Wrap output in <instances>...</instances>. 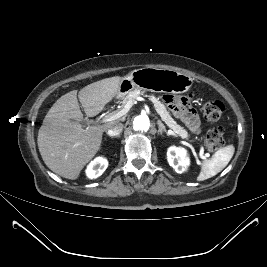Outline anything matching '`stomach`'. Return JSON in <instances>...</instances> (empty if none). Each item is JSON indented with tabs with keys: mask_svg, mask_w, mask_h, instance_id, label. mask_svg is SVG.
<instances>
[{
	"mask_svg": "<svg viewBox=\"0 0 267 267\" xmlns=\"http://www.w3.org/2000/svg\"><path fill=\"white\" fill-rule=\"evenodd\" d=\"M192 83V78L186 74L170 69L145 67L133 70L122 78L116 97L122 99L136 89L181 94L187 92Z\"/></svg>",
	"mask_w": 267,
	"mask_h": 267,
	"instance_id": "1",
	"label": "stomach"
}]
</instances>
